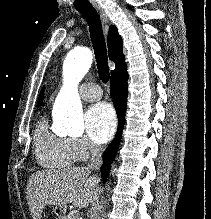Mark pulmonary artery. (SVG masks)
Segmentation results:
<instances>
[{"label": "pulmonary artery", "instance_id": "pulmonary-artery-1", "mask_svg": "<svg viewBox=\"0 0 211 219\" xmlns=\"http://www.w3.org/2000/svg\"><path fill=\"white\" fill-rule=\"evenodd\" d=\"M82 88L81 96L86 101L93 102L102 97V90L95 83H85Z\"/></svg>", "mask_w": 211, "mask_h": 219}]
</instances>
